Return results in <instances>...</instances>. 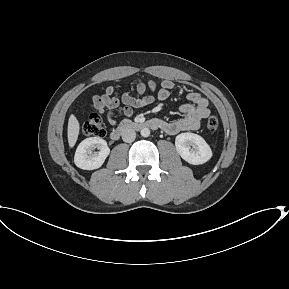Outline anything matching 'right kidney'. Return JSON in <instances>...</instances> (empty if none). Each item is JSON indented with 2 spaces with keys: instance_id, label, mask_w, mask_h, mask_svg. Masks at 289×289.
<instances>
[{
  "instance_id": "right-kidney-1",
  "label": "right kidney",
  "mask_w": 289,
  "mask_h": 289,
  "mask_svg": "<svg viewBox=\"0 0 289 289\" xmlns=\"http://www.w3.org/2000/svg\"><path fill=\"white\" fill-rule=\"evenodd\" d=\"M99 147L98 153H93L94 147ZM110 149L105 140L100 137H90L83 140L76 149L75 165L83 170L98 169L109 155Z\"/></svg>"
}]
</instances>
